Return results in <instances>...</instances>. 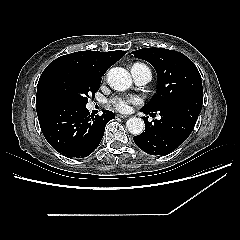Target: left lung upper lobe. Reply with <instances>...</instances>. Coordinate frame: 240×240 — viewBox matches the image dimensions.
Here are the masks:
<instances>
[{"instance_id":"5c2ea615","label":"left lung upper lobe","mask_w":240,"mask_h":240,"mask_svg":"<svg viewBox=\"0 0 240 240\" xmlns=\"http://www.w3.org/2000/svg\"><path fill=\"white\" fill-rule=\"evenodd\" d=\"M132 53L151 63L158 75L157 94L145 109L157 112L177 100L203 96L200 73L184 54L164 48H144Z\"/></svg>"}]
</instances>
